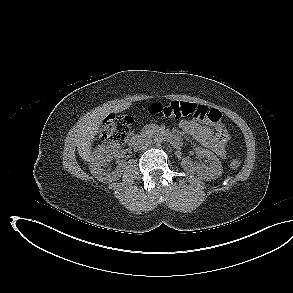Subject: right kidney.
<instances>
[{
  "label": "right kidney",
  "mask_w": 293,
  "mask_h": 293,
  "mask_svg": "<svg viewBox=\"0 0 293 293\" xmlns=\"http://www.w3.org/2000/svg\"><path fill=\"white\" fill-rule=\"evenodd\" d=\"M120 145L115 142L101 144L93 151L90 159V171L92 175L101 182H111L120 177L123 171L124 162L119 161L115 170H105L113 159L119 153Z\"/></svg>",
  "instance_id": "ca27d5eb"
}]
</instances>
